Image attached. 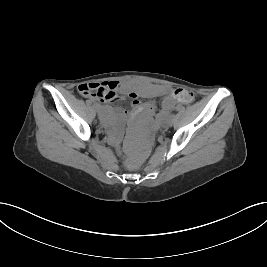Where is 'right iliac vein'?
Returning a JSON list of instances; mask_svg holds the SVG:
<instances>
[{
	"label": "right iliac vein",
	"mask_w": 267,
	"mask_h": 267,
	"mask_svg": "<svg viewBox=\"0 0 267 267\" xmlns=\"http://www.w3.org/2000/svg\"><path fill=\"white\" fill-rule=\"evenodd\" d=\"M96 112L99 113L100 112V109L97 107L95 108Z\"/></svg>",
	"instance_id": "right-iliac-vein-1"
}]
</instances>
